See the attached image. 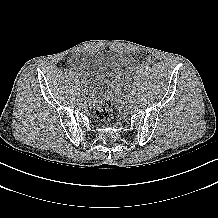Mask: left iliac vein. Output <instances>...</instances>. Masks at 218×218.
<instances>
[{
  "mask_svg": "<svg viewBox=\"0 0 218 218\" xmlns=\"http://www.w3.org/2000/svg\"><path fill=\"white\" fill-rule=\"evenodd\" d=\"M128 103H133V98H128Z\"/></svg>",
  "mask_w": 218,
  "mask_h": 218,
  "instance_id": "4c4485c4",
  "label": "left iliac vein"
}]
</instances>
